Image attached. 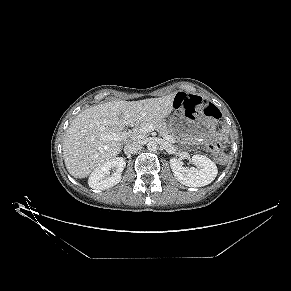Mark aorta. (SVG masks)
Segmentation results:
<instances>
[{"label": "aorta", "instance_id": "1", "mask_svg": "<svg viewBox=\"0 0 291 291\" xmlns=\"http://www.w3.org/2000/svg\"><path fill=\"white\" fill-rule=\"evenodd\" d=\"M147 149H148V151H150V152H155V151H157L158 150V144H157V142L156 141H149L148 143H147Z\"/></svg>", "mask_w": 291, "mask_h": 291}]
</instances>
